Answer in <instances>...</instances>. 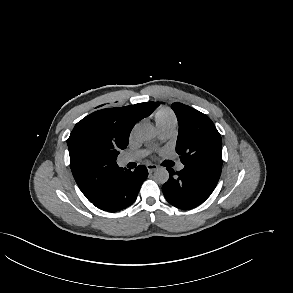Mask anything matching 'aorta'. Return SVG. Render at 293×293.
<instances>
[{"instance_id": "obj_1", "label": "aorta", "mask_w": 293, "mask_h": 293, "mask_svg": "<svg viewBox=\"0 0 293 293\" xmlns=\"http://www.w3.org/2000/svg\"><path fill=\"white\" fill-rule=\"evenodd\" d=\"M135 137L139 142H150L156 137V131L150 125H140L135 130ZM154 179L156 182L164 184L169 179V172L166 168H158L154 173Z\"/></svg>"}]
</instances>
